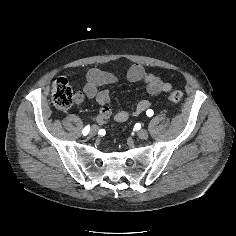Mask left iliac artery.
I'll list each match as a JSON object with an SVG mask.
<instances>
[{"label": "left iliac artery", "instance_id": "obj_1", "mask_svg": "<svg viewBox=\"0 0 236 236\" xmlns=\"http://www.w3.org/2000/svg\"><path fill=\"white\" fill-rule=\"evenodd\" d=\"M146 114H147L148 117H151V116H153L154 112H153V110L148 109V110L146 111Z\"/></svg>", "mask_w": 236, "mask_h": 236}]
</instances>
